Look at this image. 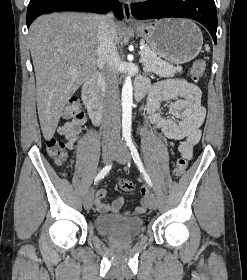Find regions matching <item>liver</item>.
I'll list each match as a JSON object with an SVG mask.
<instances>
[{
  "instance_id": "6515ba94",
  "label": "liver",
  "mask_w": 247,
  "mask_h": 280,
  "mask_svg": "<svg viewBox=\"0 0 247 280\" xmlns=\"http://www.w3.org/2000/svg\"><path fill=\"white\" fill-rule=\"evenodd\" d=\"M100 16L84 13H52L30 26V52L36 76L39 121L46 140L54 136L69 99L97 68ZM115 42L124 36L116 23Z\"/></svg>"
}]
</instances>
